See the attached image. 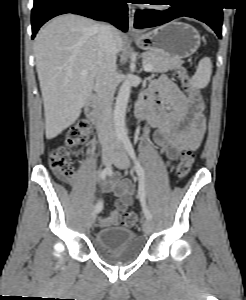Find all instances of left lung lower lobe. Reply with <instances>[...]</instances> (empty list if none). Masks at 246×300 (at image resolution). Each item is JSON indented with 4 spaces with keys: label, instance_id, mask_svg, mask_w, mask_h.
<instances>
[{
    "label": "left lung lower lobe",
    "instance_id": "left-lung-lower-lobe-1",
    "mask_svg": "<svg viewBox=\"0 0 246 300\" xmlns=\"http://www.w3.org/2000/svg\"><path fill=\"white\" fill-rule=\"evenodd\" d=\"M168 10H141L135 15V28H147L162 25L177 17L187 16L209 25L221 38L223 21L222 7L218 0H173Z\"/></svg>",
    "mask_w": 246,
    "mask_h": 300
}]
</instances>
